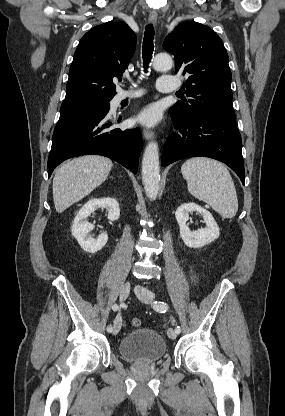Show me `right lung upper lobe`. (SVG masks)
Listing matches in <instances>:
<instances>
[{"label":"right lung upper lobe","mask_w":285,"mask_h":416,"mask_svg":"<svg viewBox=\"0 0 285 416\" xmlns=\"http://www.w3.org/2000/svg\"><path fill=\"white\" fill-rule=\"evenodd\" d=\"M135 47L136 35L123 22L92 28L74 53L64 102L111 100L116 95L113 79L128 67Z\"/></svg>","instance_id":"1"}]
</instances>
